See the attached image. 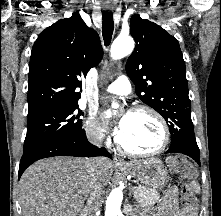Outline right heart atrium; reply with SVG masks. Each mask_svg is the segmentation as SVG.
Returning <instances> with one entry per match:
<instances>
[{
	"mask_svg": "<svg viewBox=\"0 0 221 216\" xmlns=\"http://www.w3.org/2000/svg\"><path fill=\"white\" fill-rule=\"evenodd\" d=\"M85 133L87 138L93 143H101L106 139L104 127L92 114H90L85 121Z\"/></svg>",
	"mask_w": 221,
	"mask_h": 216,
	"instance_id": "right-heart-atrium-1",
	"label": "right heart atrium"
}]
</instances>
